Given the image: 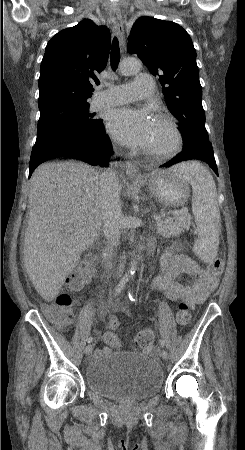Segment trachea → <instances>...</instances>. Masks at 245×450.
<instances>
[{"label":"trachea","mask_w":245,"mask_h":450,"mask_svg":"<svg viewBox=\"0 0 245 450\" xmlns=\"http://www.w3.org/2000/svg\"><path fill=\"white\" fill-rule=\"evenodd\" d=\"M120 61V48L119 42L116 37H114L111 47V67L115 71L118 67Z\"/></svg>","instance_id":"obj_1"}]
</instances>
